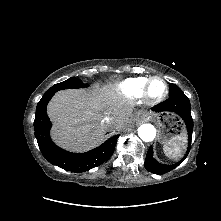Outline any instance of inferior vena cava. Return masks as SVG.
I'll list each match as a JSON object with an SVG mask.
<instances>
[{
  "label": "inferior vena cava",
  "instance_id": "602c4592",
  "mask_svg": "<svg viewBox=\"0 0 221 221\" xmlns=\"http://www.w3.org/2000/svg\"><path fill=\"white\" fill-rule=\"evenodd\" d=\"M101 124H102L104 127L110 129V128H112V127L114 126L115 123H114V121H113L112 118L106 116V117H104L103 120L101 121Z\"/></svg>",
  "mask_w": 221,
  "mask_h": 221
}]
</instances>
